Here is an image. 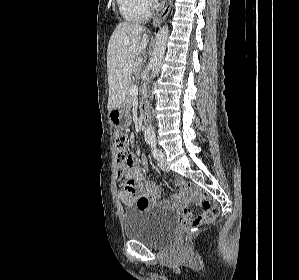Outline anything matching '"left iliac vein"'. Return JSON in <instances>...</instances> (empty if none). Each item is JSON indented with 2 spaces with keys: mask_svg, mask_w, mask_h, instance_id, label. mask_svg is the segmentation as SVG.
Segmentation results:
<instances>
[{
  "mask_svg": "<svg viewBox=\"0 0 299 280\" xmlns=\"http://www.w3.org/2000/svg\"><path fill=\"white\" fill-rule=\"evenodd\" d=\"M162 158L158 161V166L163 170V171H169V167L165 158V155L162 153Z\"/></svg>",
  "mask_w": 299,
  "mask_h": 280,
  "instance_id": "1",
  "label": "left iliac vein"
}]
</instances>
